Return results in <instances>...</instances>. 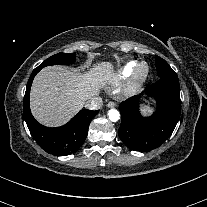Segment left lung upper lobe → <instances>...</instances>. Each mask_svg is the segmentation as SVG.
<instances>
[{"label": "left lung upper lobe", "instance_id": "left-lung-upper-lobe-1", "mask_svg": "<svg viewBox=\"0 0 207 207\" xmlns=\"http://www.w3.org/2000/svg\"><path fill=\"white\" fill-rule=\"evenodd\" d=\"M155 61H156L157 73L160 78L164 76L176 74L164 59L160 58L159 56H155Z\"/></svg>", "mask_w": 207, "mask_h": 207}]
</instances>
